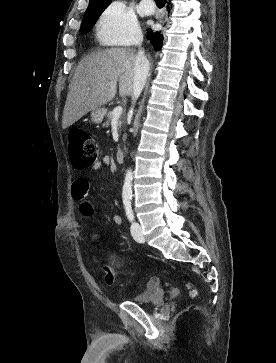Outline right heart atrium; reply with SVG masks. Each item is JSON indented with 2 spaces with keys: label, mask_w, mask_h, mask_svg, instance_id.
Wrapping results in <instances>:
<instances>
[{
  "label": "right heart atrium",
  "mask_w": 276,
  "mask_h": 363,
  "mask_svg": "<svg viewBox=\"0 0 276 363\" xmlns=\"http://www.w3.org/2000/svg\"><path fill=\"white\" fill-rule=\"evenodd\" d=\"M97 35L104 43L129 45L138 41L140 29L136 16L122 1H114L101 14Z\"/></svg>",
  "instance_id": "d8ad5b80"
}]
</instances>
